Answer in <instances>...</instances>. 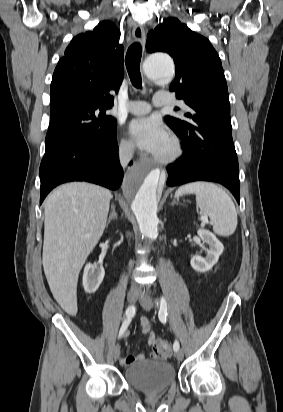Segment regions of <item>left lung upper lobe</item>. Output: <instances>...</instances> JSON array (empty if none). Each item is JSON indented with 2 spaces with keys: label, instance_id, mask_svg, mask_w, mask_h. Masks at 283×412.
<instances>
[{
  "label": "left lung upper lobe",
  "instance_id": "left-lung-upper-lobe-1",
  "mask_svg": "<svg viewBox=\"0 0 283 412\" xmlns=\"http://www.w3.org/2000/svg\"><path fill=\"white\" fill-rule=\"evenodd\" d=\"M146 50L167 52L174 58L176 76L170 90L189 112L184 120L166 116L168 126L178 136L189 133L199 137L211 160L238 166L226 79L209 40L169 18L148 33Z\"/></svg>",
  "mask_w": 283,
  "mask_h": 412
}]
</instances>
